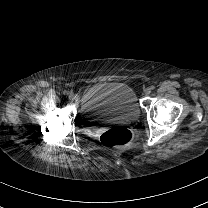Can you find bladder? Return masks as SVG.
<instances>
[{"instance_id": "1", "label": "bladder", "mask_w": 208, "mask_h": 208, "mask_svg": "<svg viewBox=\"0 0 208 208\" xmlns=\"http://www.w3.org/2000/svg\"><path fill=\"white\" fill-rule=\"evenodd\" d=\"M85 122L135 120L140 108L133 90L120 83H101L87 88L81 100Z\"/></svg>"}]
</instances>
